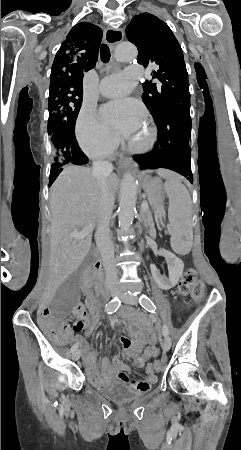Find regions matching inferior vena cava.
Listing matches in <instances>:
<instances>
[{"label": "inferior vena cava", "mask_w": 241, "mask_h": 450, "mask_svg": "<svg viewBox=\"0 0 241 450\" xmlns=\"http://www.w3.org/2000/svg\"><path fill=\"white\" fill-rule=\"evenodd\" d=\"M111 172H113V166L110 162L96 160L92 164V176L98 180L102 196L101 210L103 214L102 220L97 226L96 244L101 254L103 268L105 270V288H109L113 282H116L119 274L114 260L115 246L110 238L109 228V220L114 206V198H112L107 186V178Z\"/></svg>", "instance_id": "1"}]
</instances>
